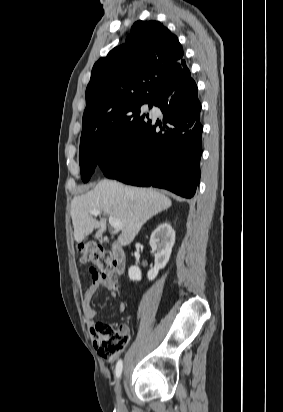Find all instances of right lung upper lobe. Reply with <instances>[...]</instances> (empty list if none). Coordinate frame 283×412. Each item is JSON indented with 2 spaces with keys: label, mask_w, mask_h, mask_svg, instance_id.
Listing matches in <instances>:
<instances>
[{
  "label": "right lung upper lobe",
  "mask_w": 283,
  "mask_h": 412,
  "mask_svg": "<svg viewBox=\"0 0 283 412\" xmlns=\"http://www.w3.org/2000/svg\"><path fill=\"white\" fill-rule=\"evenodd\" d=\"M190 77L177 37L157 21L134 23L126 43L93 66L81 139L116 126L134 107L153 103Z\"/></svg>",
  "instance_id": "cb5924a9"
}]
</instances>
